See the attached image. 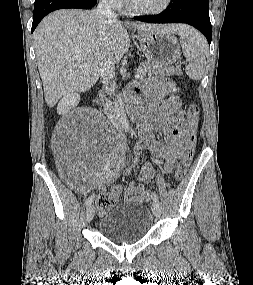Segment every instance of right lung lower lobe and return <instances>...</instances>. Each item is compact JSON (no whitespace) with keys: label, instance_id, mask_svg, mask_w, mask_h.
<instances>
[{"label":"right lung lower lobe","instance_id":"98d812e1","mask_svg":"<svg viewBox=\"0 0 253 285\" xmlns=\"http://www.w3.org/2000/svg\"><path fill=\"white\" fill-rule=\"evenodd\" d=\"M96 3L97 0H35L31 32L35 30L43 17L54 10L63 8L90 9Z\"/></svg>","mask_w":253,"mask_h":285}]
</instances>
